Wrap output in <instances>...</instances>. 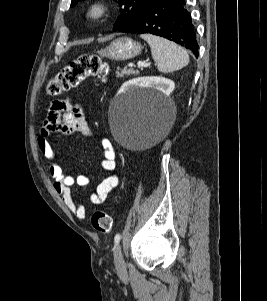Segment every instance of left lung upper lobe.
Wrapping results in <instances>:
<instances>
[{
	"mask_svg": "<svg viewBox=\"0 0 267 301\" xmlns=\"http://www.w3.org/2000/svg\"><path fill=\"white\" fill-rule=\"evenodd\" d=\"M78 1L80 0H72L71 6H74ZM150 1L151 0H118V4L121 7V15L117 18L113 30L117 31L125 24L131 22Z\"/></svg>",
	"mask_w": 267,
	"mask_h": 301,
	"instance_id": "left-lung-upper-lobe-1",
	"label": "left lung upper lobe"
}]
</instances>
